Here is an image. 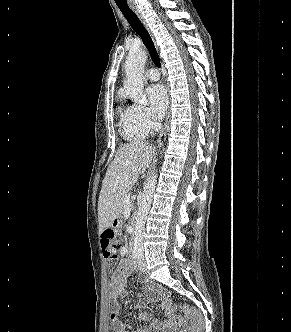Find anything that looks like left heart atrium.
Here are the masks:
<instances>
[{
  "label": "left heart atrium",
  "instance_id": "39dd6f15",
  "mask_svg": "<svg viewBox=\"0 0 291 332\" xmlns=\"http://www.w3.org/2000/svg\"><path fill=\"white\" fill-rule=\"evenodd\" d=\"M146 96L150 104V115L155 120H160L168 106V95L160 84H153L146 89Z\"/></svg>",
  "mask_w": 291,
  "mask_h": 332
}]
</instances>
